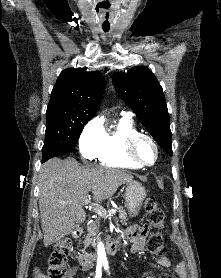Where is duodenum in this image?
Here are the masks:
<instances>
[{
    "label": "duodenum",
    "instance_id": "1",
    "mask_svg": "<svg viewBox=\"0 0 221 278\" xmlns=\"http://www.w3.org/2000/svg\"><path fill=\"white\" fill-rule=\"evenodd\" d=\"M83 233L82 228H77L74 231V237L79 238ZM119 238L118 237H112L109 239V241L106 244V251L109 255L116 254L119 251ZM96 255L94 253L88 252L83 253L78 257V262L80 265V268L83 270H88L92 267L93 262L95 261Z\"/></svg>",
    "mask_w": 221,
    "mask_h": 278
}]
</instances>
